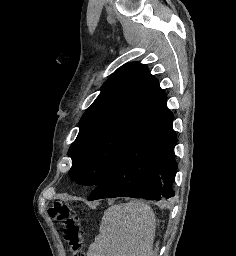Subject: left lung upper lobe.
<instances>
[{
  "label": "left lung upper lobe",
  "instance_id": "left-lung-upper-lobe-1",
  "mask_svg": "<svg viewBox=\"0 0 236 256\" xmlns=\"http://www.w3.org/2000/svg\"><path fill=\"white\" fill-rule=\"evenodd\" d=\"M166 101L145 65L129 63L117 70L79 121L78 136L68 151L71 179L98 186L133 133Z\"/></svg>",
  "mask_w": 236,
  "mask_h": 256
}]
</instances>
